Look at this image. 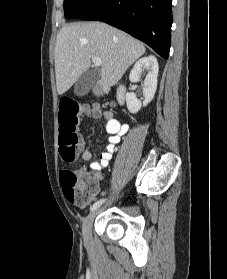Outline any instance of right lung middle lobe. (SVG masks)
Listing matches in <instances>:
<instances>
[{
	"mask_svg": "<svg viewBox=\"0 0 227 279\" xmlns=\"http://www.w3.org/2000/svg\"><path fill=\"white\" fill-rule=\"evenodd\" d=\"M94 0H64V13L66 18L81 17Z\"/></svg>",
	"mask_w": 227,
	"mask_h": 279,
	"instance_id": "obj_1",
	"label": "right lung middle lobe"
}]
</instances>
